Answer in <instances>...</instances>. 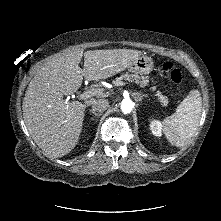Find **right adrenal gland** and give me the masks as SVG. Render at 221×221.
<instances>
[{
    "instance_id": "2a0ac1e0",
    "label": "right adrenal gland",
    "mask_w": 221,
    "mask_h": 221,
    "mask_svg": "<svg viewBox=\"0 0 221 221\" xmlns=\"http://www.w3.org/2000/svg\"><path fill=\"white\" fill-rule=\"evenodd\" d=\"M89 112L92 113L94 117L101 116V113H96V112H93L92 110H90Z\"/></svg>"
}]
</instances>
